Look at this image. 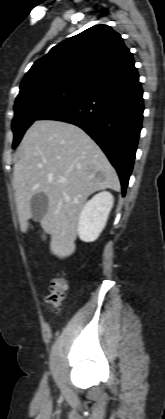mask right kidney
Instances as JSON below:
<instances>
[{
    "mask_svg": "<svg viewBox=\"0 0 165 419\" xmlns=\"http://www.w3.org/2000/svg\"><path fill=\"white\" fill-rule=\"evenodd\" d=\"M113 203L112 194L106 191L96 194L85 203L79 216L77 228L82 241L93 242L99 237L106 225Z\"/></svg>",
    "mask_w": 165,
    "mask_h": 419,
    "instance_id": "right-kidney-1",
    "label": "right kidney"
}]
</instances>
